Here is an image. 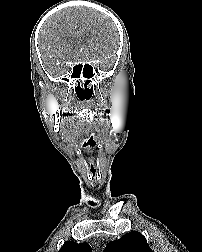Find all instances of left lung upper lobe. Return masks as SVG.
I'll return each instance as SVG.
<instances>
[{"instance_id": "left-lung-upper-lobe-1", "label": "left lung upper lobe", "mask_w": 202, "mask_h": 252, "mask_svg": "<svg viewBox=\"0 0 202 252\" xmlns=\"http://www.w3.org/2000/svg\"><path fill=\"white\" fill-rule=\"evenodd\" d=\"M106 252H153L149 247L145 237L132 231L125 234L122 238L112 241L107 246Z\"/></svg>"}]
</instances>
